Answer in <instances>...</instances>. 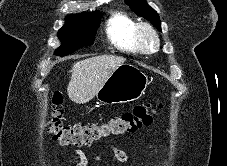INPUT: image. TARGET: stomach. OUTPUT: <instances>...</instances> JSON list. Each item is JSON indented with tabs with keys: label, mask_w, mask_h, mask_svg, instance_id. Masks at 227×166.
<instances>
[{
	"label": "stomach",
	"mask_w": 227,
	"mask_h": 166,
	"mask_svg": "<svg viewBox=\"0 0 227 166\" xmlns=\"http://www.w3.org/2000/svg\"><path fill=\"white\" fill-rule=\"evenodd\" d=\"M149 85L148 76L132 64H122L106 80L96 93L104 104L127 103L138 100Z\"/></svg>",
	"instance_id": "obj_1"
}]
</instances>
